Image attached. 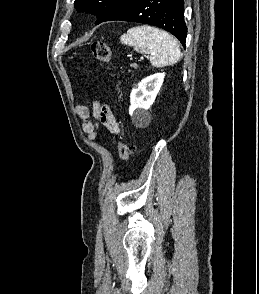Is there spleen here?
I'll list each match as a JSON object with an SVG mask.
<instances>
[{"instance_id": "obj_1", "label": "spleen", "mask_w": 259, "mask_h": 294, "mask_svg": "<svg viewBox=\"0 0 259 294\" xmlns=\"http://www.w3.org/2000/svg\"><path fill=\"white\" fill-rule=\"evenodd\" d=\"M120 41L139 53L149 55L154 67L174 65L181 58L176 39L155 27L144 25L130 28L120 37Z\"/></svg>"}]
</instances>
